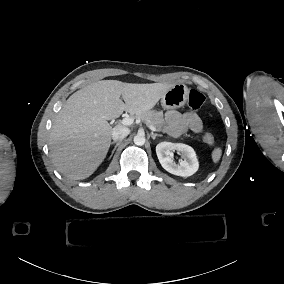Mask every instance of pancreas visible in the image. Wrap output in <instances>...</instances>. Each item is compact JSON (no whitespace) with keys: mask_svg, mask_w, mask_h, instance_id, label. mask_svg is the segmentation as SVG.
<instances>
[{"mask_svg":"<svg viewBox=\"0 0 284 284\" xmlns=\"http://www.w3.org/2000/svg\"><path fill=\"white\" fill-rule=\"evenodd\" d=\"M136 117L144 121L149 128L155 127L158 132H165L168 129L163 112L146 111L137 114Z\"/></svg>","mask_w":284,"mask_h":284,"instance_id":"pancreas-1","label":"pancreas"}]
</instances>
